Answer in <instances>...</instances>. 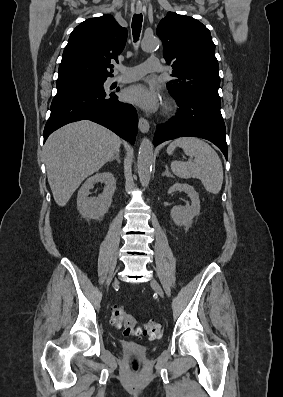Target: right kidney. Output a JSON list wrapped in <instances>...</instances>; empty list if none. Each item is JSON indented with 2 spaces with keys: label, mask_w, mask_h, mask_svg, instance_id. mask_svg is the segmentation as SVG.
Here are the masks:
<instances>
[{
  "label": "right kidney",
  "mask_w": 283,
  "mask_h": 397,
  "mask_svg": "<svg viewBox=\"0 0 283 397\" xmlns=\"http://www.w3.org/2000/svg\"><path fill=\"white\" fill-rule=\"evenodd\" d=\"M97 182L104 183V190L97 198H90L89 190ZM116 189V180L112 173H97L88 178L78 191L77 208L83 218L100 219L109 210Z\"/></svg>",
  "instance_id": "right-kidney-1"
}]
</instances>
